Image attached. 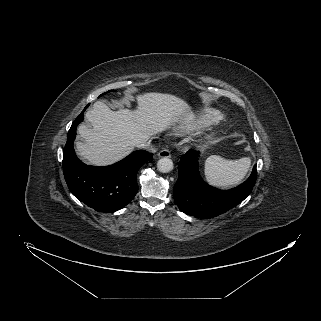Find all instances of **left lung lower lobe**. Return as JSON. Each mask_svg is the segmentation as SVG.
I'll return each mask as SVG.
<instances>
[{"mask_svg": "<svg viewBox=\"0 0 321 321\" xmlns=\"http://www.w3.org/2000/svg\"><path fill=\"white\" fill-rule=\"evenodd\" d=\"M198 157V151L187 152L178 166L173 195L182 212L198 218H212L232 209L251 193L257 179L256 165L244 183L230 190H220L201 179Z\"/></svg>", "mask_w": 321, "mask_h": 321, "instance_id": "left-lung-lower-lobe-1", "label": "left lung lower lobe"}]
</instances>
